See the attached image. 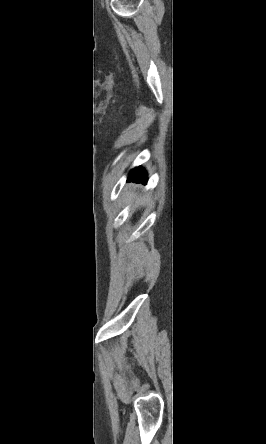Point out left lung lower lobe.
<instances>
[{
	"label": "left lung lower lobe",
	"instance_id": "0a47b994",
	"mask_svg": "<svg viewBox=\"0 0 266 444\" xmlns=\"http://www.w3.org/2000/svg\"><path fill=\"white\" fill-rule=\"evenodd\" d=\"M128 181L146 183L147 175L145 170L142 167H137L133 169L129 174Z\"/></svg>",
	"mask_w": 266,
	"mask_h": 444
}]
</instances>
